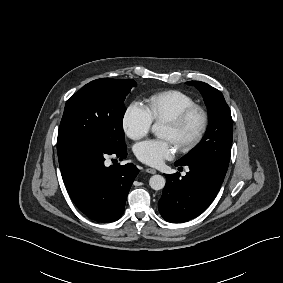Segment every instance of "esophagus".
I'll list each match as a JSON object with an SVG mask.
<instances>
[{"label": "esophagus", "mask_w": 283, "mask_h": 283, "mask_svg": "<svg viewBox=\"0 0 283 283\" xmlns=\"http://www.w3.org/2000/svg\"><path fill=\"white\" fill-rule=\"evenodd\" d=\"M146 172L150 173V174H156L157 173V171L155 169H153V168H147Z\"/></svg>", "instance_id": "obj_1"}]
</instances>
